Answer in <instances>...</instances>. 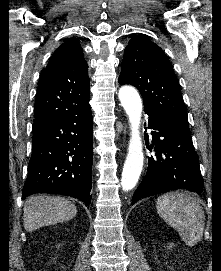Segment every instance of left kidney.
Returning <instances> with one entry per match:
<instances>
[{
  "instance_id": "obj_1",
  "label": "left kidney",
  "mask_w": 221,
  "mask_h": 271,
  "mask_svg": "<svg viewBox=\"0 0 221 271\" xmlns=\"http://www.w3.org/2000/svg\"><path fill=\"white\" fill-rule=\"evenodd\" d=\"M166 247H169V249H170V247H172L171 243H170V245H166Z\"/></svg>"
}]
</instances>
